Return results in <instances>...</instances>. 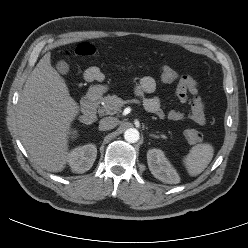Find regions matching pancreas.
Masks as SVG:
<instances>
[{"instance_id": "1", "label": "pancreas", "mask_w": 248, "mask_h": 248, "mask_svg": "<svg viewBox=\"0 0 248 248\" xmlns=\"http://www.w3.org/2000/svg\"><path fill=\"white\" fill-rule=\"evenodd\" d=\"M104 105L100 109V113L103 114H114L119 111L120 107L122 106L119 103L120 99L116 95H107L103 99ZM162 138H166L165 135H161Z\"/></svg>"}]
</instances>
